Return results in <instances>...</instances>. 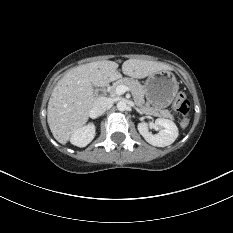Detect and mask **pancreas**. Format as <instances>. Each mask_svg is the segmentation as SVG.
Here are the masks:
<instances>
[{"label": "pancreas", "mask_w": 233, "mask_h": 233, "mask_svg": "<svg viewBox=\"0 0 233 233\" xmlns=\"http://www.w3.org/2000/svg\"><path fill=\"white\" fill-rule=\"evenodd\" d=\"M119 85H124L129 88L133 95V99L135 104L138 106L141 112L149 115H154V116H159V117H165L169 119H174L173 115L169 110H159L157 108L150 107L149 105H144V95H145V90L144 86H142L137 80H134L132 78H122L115 83L109 88V93L111 96H116V88Z\"/></svg>", "instance_id": "obj_1"}]
</instances>
